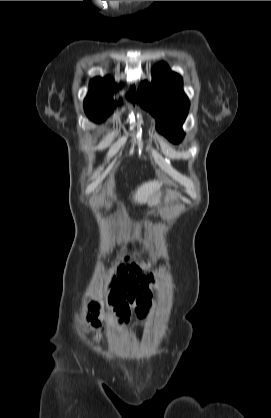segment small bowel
<instances>
[{
	"mask_svg": "<svg viewBox=\"0 0 271 418\" xmlns=\"http://www.w3.org/2000/svg\"><path fill=\"white\" fill-rule=\"evenodd\" d=\"M161 253L153 250L150 257H142L138 261L122 262L117 267V272L112 277V292L108 302L114 306V313L135 314V322H145L152 307L151 290L152 278L149 274L156 269V262L160 260ZM122 322L128 321L127 315L121 316Z\"/></svg>",
	"mask_w": 271,
	"mask_h": 418,
	"instance_id": "small-bowel-1",
	"label": "small bowel"
}]
</instances>
